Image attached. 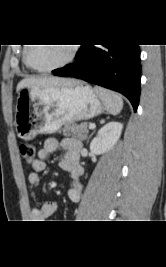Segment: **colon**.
Wrapping results in <instances>:
<instances>
[{"label":"colon","mask_w":166,"mask_h":267,"mask_svg":"<svg viewBox=\"0 0 166 267\" xmlns=\"http://www.w3.org/2000/svg\"><path fill=\"white\" fill-rule=\"evenodd\" d=\"M19 152L21 157L26 161H33L35 158V146L32 143H21Z\"/></svg>","instance_id":"1"}]
</instances>
